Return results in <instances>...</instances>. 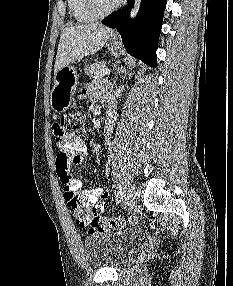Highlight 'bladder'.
Listing matches in <instances>:
<instances>
[{
  "label": "bladder",
  "mask_w": 233,
  "mask_h": 286,
  "mask_svg": "<svg viewBox=\"0 0 233 286\" xmlns=\"http://www.w3.org/2000/svg\"><path fill=\"white\" fill-rule=\"evenodd\" d=\"M141 240L136 230L91 235L84 240V254L92 268H120L137 253Z\"/></svg>",
  "instance_id": "obj_1"
}]
</instances>
